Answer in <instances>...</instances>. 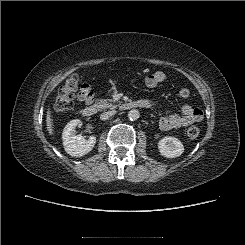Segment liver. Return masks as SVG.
I'll return each instance as SVG.
<instances>
[{
    "mask_svg": "<svg viewBox=\"0 0 245 245\" xmlns=\"http://www.w3.org/2000/svg\"><path fill=\"white\" fill-rule=\"evenodd\" d=\"M46 126H47V131L50 135H53V121L51 118V112L50 109L47 110V115H46Z\"/></svg>",
    "mask_w": 245,
    "mask_h": 245,
    "instance_id": "1",
    "label": "liver"
}]
</instances>
